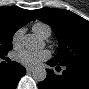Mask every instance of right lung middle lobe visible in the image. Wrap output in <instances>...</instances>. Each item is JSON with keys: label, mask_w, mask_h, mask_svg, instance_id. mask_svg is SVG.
I'll return each instance as SVG.
<instances>
[{"label": "right lung middle lobe", "mask_w": 89, "mask_h": 89, "mask_svg": "<svg viewBox=\"0 0 89 89\" xmlns=\"http://www.w3.org/2000/svg\"><path fill=\"white\" fill-rule=\"evenodd\" d=\"M12 37L13 34L0 29V55H6L12 49Z\"/></svg>", "instance_id": "right-lung-middle-lobe-1"}]
</instances>
